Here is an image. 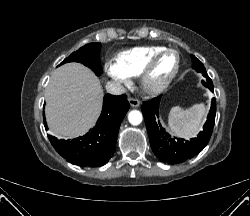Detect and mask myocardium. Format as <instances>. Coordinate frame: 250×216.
Here are the masks:
<instances>
[{"instance_id": "f54148a6", "label": "myocardium", "mask_w": 250, "mask_h": 216, "mask_svg": "<svg viewBox=\"0 0 250 216\" xmlns=\"http://www.w3.org/2000/svg\"><path fill=\"white\" fill-rule=\"evenodd\" d=\"M168 53H173L175 54L177 58L176 66L173 72L170 74V76L160 85H152L150 83V77L151 74L158 62V60L165 54ZM181 68V57L180 54L177 50L175 49H170V48H165L158 53L154 54L146 66L144 67L143 71L140 74V83L143 91L149 95H158L163 93L174 81V79L177 77L179 71Z\"/></svg>"}]
</instances>
